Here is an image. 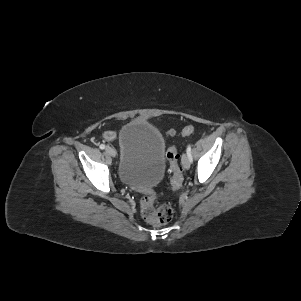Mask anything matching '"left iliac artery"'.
<instances>
[{
	"mask_svg": "<svg viewBox=\"0 0 301 301\" xmlns=\"http://www.w3.org/2000/svg\"><path fill=\"white\" fill-rule=\"evenodd\" d=\"M186 152H187V156H188L190 162H192L193 160H192V156H191V145L187 146Z\"/></svg>",
	"mask_w": 301,
	"mask_h": 301,
	"instance_id": "obj_1",
	"label": "left iliac artery"
}]
</instances>
